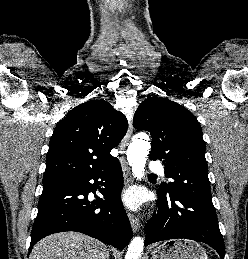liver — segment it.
Wrapping results in <instances>:
<instances>
[{
  "label": "liver",
  "instance_id": "6515ba94",
  "mask_svg": "<svg viewBox=\"0 0 248 259\" xmlns=\"http://www.w3.org/2000/svg\"><path fill=\"white\" fill-rule=\"evenodd\" d=\"M102 242L77 232H61L40 240L29 259H108Z\"/></svg>",
  "mask_w": 248,
  "mask_h": 259
}]
</instances>
